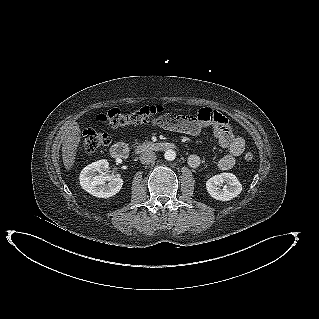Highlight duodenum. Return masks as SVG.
<instances>
[{
  "mask_svg": "<svg viewBox=\"0 0 319 319\" xmlns=\"http://www.w3.org/2000/svg\"><path fill=\"white\" fill-rule=\"evenodd\" d=\"M174 148V145L166 141L145 142L137 147L139 152H157ZM129 153V148L125 143H116L110 148V155L116 160L124 159Z\"/></svg>",
  "mask_w": 319,
  "mask_h": 319,
  "instance_id": "obj_1",
  "label": "duodenum"
}]
</instances>
